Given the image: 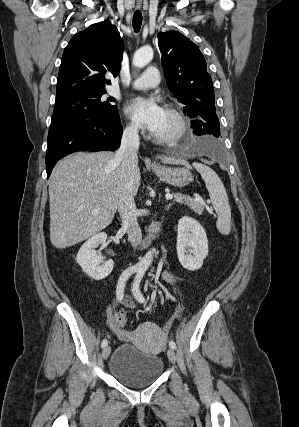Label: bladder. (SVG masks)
<instances>
[{
	"label": "bladder",
	"instance_id": "31cf9c89",
	"mask_svg": "<svg viewBox=\"0 0 299 427\" xmlns=\"http://www.w3.org/2000/svg\"><path fill=\"white\" fill-rule=\"evenodd\" d=\"M109 370L121 384L141 388L160 378L164 363L158 355L142 352L130 343H122L111 357Z\"/></svg>",
	"mask_w": 299,
	"mask_h": 427
}]
</instances>
